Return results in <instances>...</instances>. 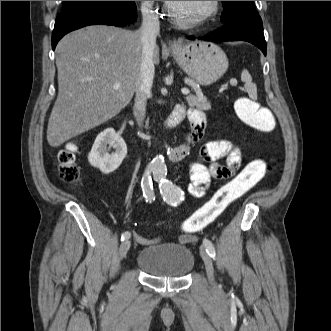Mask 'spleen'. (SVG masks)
I'll list each match as a JSON object with an SVG mask.
<instances>
[{"mask_svg":"<svg viewBox=\"0 0 331 331\" xmlns=\"http://www.w3.org/2000/svg\"><path fill=\"white\" fill-rule=\"evenodd\" d=\"M241 79L245 82V88L248 92V95L251 99H257V87L252 83V77L247 70H243L241 74Z\"/></svg>","mask_w":331,"mask_h":331,"instance_id":"1","label":"spleen"}]
</instances>
